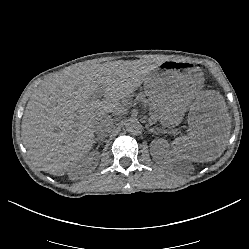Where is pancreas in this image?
<instances>
[{
    "instance_id": "1",
    "label": "pancreas",
    "mask_w": 249,
    "mask_h": 249,
    "mask_svg": "<svg viewBox=\"0 0 249 249\" xmlns=\"http://www.w3.org/2000/svg\"><path fill=\"white\" fill-rule=\"evenodd\" d=\"M141 98H143V99H144V98H145V96H142Z\"/></svg>"
}]
</instances>
